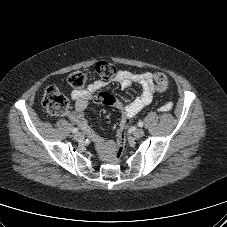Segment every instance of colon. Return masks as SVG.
<instances>
[{
	"mask_svg": "<svg viewBox=\"0 0 227 227\" xmlns=\"http://www.w3.org/2000/svg\"><path fill=\"white\" fill-rule=\"evenodd\" d=\"M96 73L100 80H110L117 74L116 67L107 61H100L96 65ZM87 79L85 71H76L72 73L68 82L73 88H81L84 86ZM155 90L159 93L165 91L168 87V78L163 73H155ZM43 107L47 112L52 115L62 116L65 115L69 110V100L68 98L54 86H50L46 89L43 100ZM124 152V129H122L118 135V145L114 153V160L119 162L123 157Z\"/></svg>",
	"mask_w": 227,
	"mask_h": 227,
	"instance_id": "obj_1",
	"label": "colon"
}]
</instances>
